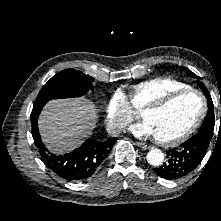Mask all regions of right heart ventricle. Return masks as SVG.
<instances>
[{
	"mask_svg": "<svg viewBox=\"0 0 221 221\" xmlns=\"http://www.w3.org/2000/svg\"><path fill=\"white\" fill-rule=\"evenodd\" d=\"M188 87L189 85L177 79L171 77H158L132 86L127 92V99L131 107L140 111L143 107L163 95L171 91Z\"/></svg>",
	"mask_w": 221,
	"mask_h": 221,
	"instance_id": "right-heart-ventricle-1",
	"label": "right heart ventricle"
}]
</instances>
